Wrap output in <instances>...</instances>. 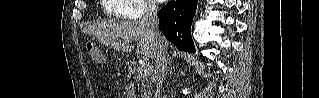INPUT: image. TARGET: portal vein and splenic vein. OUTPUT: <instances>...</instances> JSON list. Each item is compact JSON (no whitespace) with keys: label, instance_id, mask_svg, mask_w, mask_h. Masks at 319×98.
<instances>
[{"label":"portal vein and splenic vein","instance_id":"1","mask_svg":"<svg viewBox=\"0 0 319 98\" xmlns=\"http://www.w3.org/2000/svg\"><path fill=\"white\" fill-rule=\"evenodd\" d=\"M127 40H129V39H127ZM151 70H152V66L149 63H144L139 68L140 74H150Z\"/></svg>","mask_w":319,"mask_h":98}]
</instances>
